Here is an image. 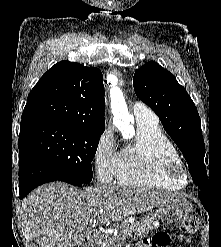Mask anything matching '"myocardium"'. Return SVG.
Segmentation results:
<instances>
[{"instance_id":"myocardium-1","label":"myocardium","mask_w":221,"mask_h":247,"mask_svg":"<svg viewBox=\"0 0 221 247\" xmlns=\"http://www.w3.org/2000/svg\"><path fill=\"white\" fill-rule=\"evenodd\" d=\"M164 172L167 176L186 183L188 172L181 160L168 159L164 164Z\"/></svg>"}]
</instances>
